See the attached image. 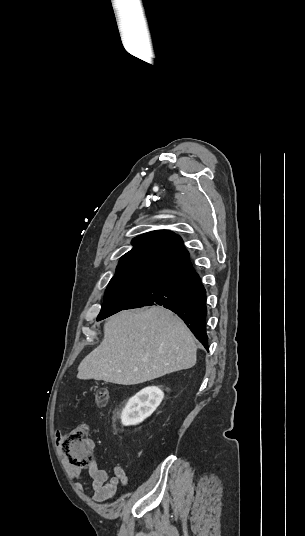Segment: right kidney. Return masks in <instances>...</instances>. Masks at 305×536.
Here are the masks:
<instances>
[{"mask_svg": "<svg viewBox=\"0 0 305 536\" xmlns=\"http://www.w3.org/2000/svg\"><path fill=\"white\" fill-rule=\"evenodd\" d=\"M163 398L164 392L157 386H149V388H144L138 392L134 398L129 400L121 416L124 426H134L138 422H143L160 406Z\"/></svg>", "mask_w": 305, "mask_h": 536, "instance_id": "right-kidney-1", "label": "right kidney"}]
</instances>
